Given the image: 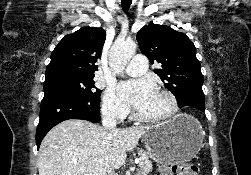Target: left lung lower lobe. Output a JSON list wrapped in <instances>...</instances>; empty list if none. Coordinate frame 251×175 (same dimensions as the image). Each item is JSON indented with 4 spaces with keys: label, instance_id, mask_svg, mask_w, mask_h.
<instances>
[{
    "label": "left lung lower lobe",
    "instance_id": "1",
    "mask_svg": "<svg viewBox=\"0 0 251 175\" xmlns=\"http://www.w3.org/2000/svg\"><path fill=\"white\" fill-rule=\"evenodd\" d=\"M180 108H183L184 111L191 117H199L205 111V104L200 103H178Z\"/></svg>",
    "mask_w": 251,
    "mask_h": 175
}]
</instances>
